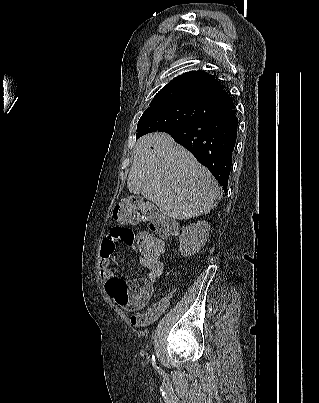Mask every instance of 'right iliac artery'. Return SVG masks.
<instances>
[{
    "mask_svg": "<svg viewBox=\"0 0 319 403\" xmlns=\"http://www.w3.org/2000/svg\"><path fill=\"white\" fill-rule=\"evenodd\" d=\"M152 365H153L154 368H158V367L156 366L155 356H154V355H152Z\"/></svg>",
    "mask_w": 319,
    "mask_h": 403,
    "instance_id": "right-iliac-artery-1",
    "label": "right iliac artery"
}]
</instances>
